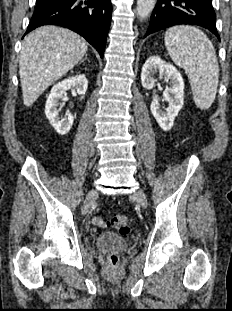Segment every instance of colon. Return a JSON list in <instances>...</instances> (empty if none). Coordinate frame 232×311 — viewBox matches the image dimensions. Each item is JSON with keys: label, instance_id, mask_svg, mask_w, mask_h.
<instances>
[{"label": "colon", "instance_id": "colon-1", "mask_svg": "<svg viewBox=\"0 0 232 311\" xmlns=\"http://www.w3.org/2000/svg\"><path fill=\"white\" fill-rule=\"evenodd\" d=\"M109 224L122 235H128L132 230L131 221L125 215H114ZM108 261L109 264L114 267L118 264L119 258L117 255L112 254L109 256Z\"/></svg>", "mask_w": 232, "mask_h": 311}]
</instances>
